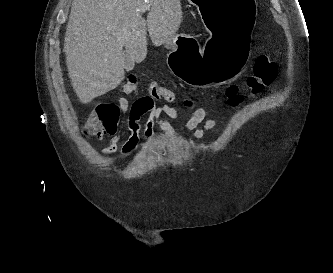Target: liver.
I'll use <instances>...</instances> for the list:
<instances>
[{
  "mask_svg": "<svg viewBox=\"0 0 333 273\" xmlns=\"http://www.w3.org/2000/svg\"><path fill=\"white\" fill-rule=\"evenodd\" d=\"M148 3L145 20L138 11ZM180 0H74L64 39L66 64L81 103L115 89L124 79L123 47L134 62L169 41L182 22Z\"/></svg>",
  "mask_w": 333,
  "mask_h": 273,
  "instance_id": "1",
  "label": "liver"
}]
</instances>
